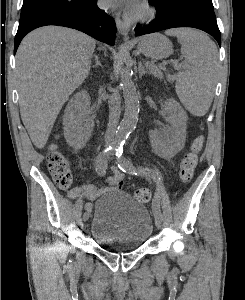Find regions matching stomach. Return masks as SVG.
I'll return each mask as SVG.
<instances>
[{"label":"stomach","mask_w":245,"mask_h":300,"mask_svg":"<svg viewBox=\"0 0 245 300\" xmlns=\"http://www.w3.org/2000/svg\"><path fill=\"white\" fill-rule=\"evenodd\" d=\"M137 49L153 59H164L173 53L171 41L160 33H153L139 39Z\"/></svg>","instance_id":"1"}]
</instances>
